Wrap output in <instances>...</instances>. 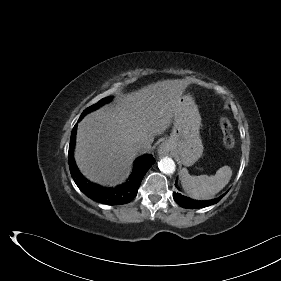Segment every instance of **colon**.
<instances>
[{
	"instance_id": "1",
	"label": "colon",
	"mask_w": 281,
	"mask_h": 281,
	"mask_svg": "<svg viewBox=\"0 0 281 281\" xmlns=\"http://www.w3.org/2000/svg\"><path fill=\"white\" fill-rule=\"evenodd\" d=\"M219 126L223 134V145L228 148H234L236 145V137L233 132L232 125L228 118L222 116L219 118Z\"/></svg>"
}]
</instances>
